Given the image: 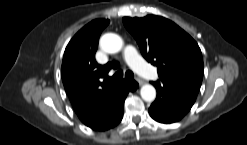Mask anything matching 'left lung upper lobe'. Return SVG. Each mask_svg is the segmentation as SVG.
<instances>
[{"label": "left lung upper lobe", "instance_id": "5c2ea615", "mask_svg": "<svg viewBox=\"0 0 247 145\" xmlns=\"http://www.w3.org/2000/svg\"><path fill=\"white\" fill-rule=\"evenodd\" d=\"M144 58L157 66L159 78L198 94L204 72L198 44L172 21L154 15L124 17Z\"/></svg>", "mask_w": 247, "mask_h": 145}]
</instances>
